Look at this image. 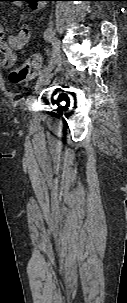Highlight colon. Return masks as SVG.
<instances>
[{
	"mask_svg": "<svg viewBox=\"0 0 127 303\" xmlns=\"http://www.w3.org/2000/svg\"><path fill=\"white\" fill-rule=\"evenodd\" d=\"M41 56L35 54L30 60H28L19 69L13 70L9 74V80L12 83L22 82L31 72L32 68L38 70L41 66Z\"/></svg>",
	"mask_w": 127,
	"mask_h": 303,
	"instance_id": "colon-1",
	"label": "colon"
}]
</instances>
